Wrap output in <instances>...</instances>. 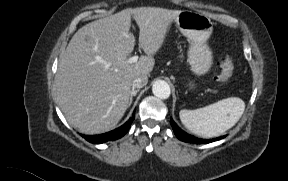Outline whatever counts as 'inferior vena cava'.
Returning a JSON list of instances; mask_svg holds the SVG:
<instances>
[{"instance_id": "inferior-vena-cava-1", "label": "inferior vena cava", "mask_w": 288, "mask_h": 181, "mask_svg": "<svg viewBox=\"0 0 288 181\" xmlns=\"http://www.w3.org/2000/svg\"><path fill=\"white\" fill-rule=\"evenodd\" d=\"M148 83L147 76H139L133 79L132 88H142Z\"/></svg>"}]
</instances>
